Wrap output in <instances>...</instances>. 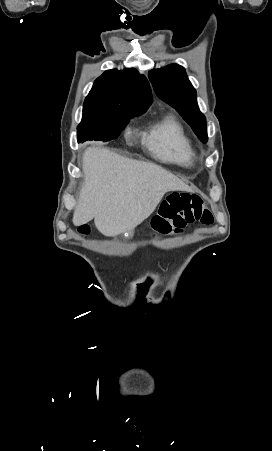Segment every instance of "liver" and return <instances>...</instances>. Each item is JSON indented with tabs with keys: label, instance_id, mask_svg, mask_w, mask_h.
I'll return each mask as SVG.
<instances>
[{
	"label": "liver",
	"instance_id": "liver-1",
	"mask_svg": "<svg viewBox=\"0 0 272 451\" xmlns=\"http://www.w3.org/2000/svg\"><path fill=\"white\" fill-rule=\"evenodd\" d=\"M82 170L84 180L72 222L82 226L94 218L103 235L139 226L166 192H191L190 186L161 166L129 160L107 148H87Z\"/></svg>",
	"mask_w": 272,
	"mask_h": 451
}]
</instances>
